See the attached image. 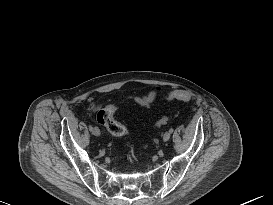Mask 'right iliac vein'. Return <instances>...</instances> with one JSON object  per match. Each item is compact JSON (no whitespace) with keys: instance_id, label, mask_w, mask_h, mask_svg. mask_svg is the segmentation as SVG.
<instances>
[{"instance_id":"63e3f726","label":"right iliac vein","mask_w":273,"mask_h":205,"mask_svg":"<svg viewBox=\"0 0 273 205\" xmlns=\"http://www.w3.org/2000/svg\"><path fill=\"white\" fill-rule=\"evenodd\" d=\"M91 132L95 136H99L100 135V130L97 127H93V129L91 130Z\"/></svg>"}]
</instances>
